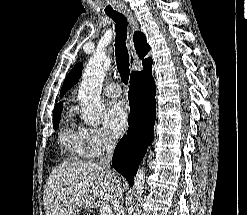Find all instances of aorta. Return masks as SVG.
I'll return each mask as SVG.
<instances>
[{"label":"aorta","instance_id":"1","mask_svg":"<svg viewBox=\"0 0 247 215\" xmlns=\"http://www.w3.org/2000/svg\"><path fill=\"white\" fill-rule=\"evenodd\" d=\"M111 65V58L104 53H95L90 58L82 77L78 91V100L82 106V119L88 125H97L104 110L101 102L102 83ZM145 171L139 168L134 178V194L138 200L144 191Z\"/></svg>","mask_w":247,"mask_h":215}]
</instances>
